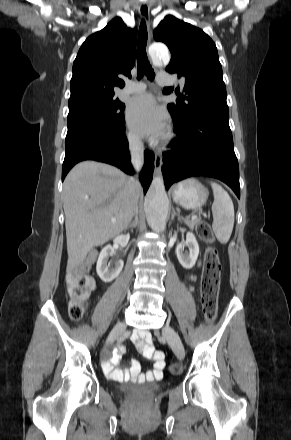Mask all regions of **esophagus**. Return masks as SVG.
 Here are the masks:
<instances>
[{
    "instance_id": "esophagus-1",
    "label": "esophagus",
    "mask_w": 291,
    "mask_h": 440,
    "mask_svg": "<svg viewBox=\"0 0 291 440\" xmlns=\"http://www.w3.org/2000/svg\"><path fill=\"white\" fill-rule=\"evenodd\" d=\"M139 13L142 19H144V21L146 22L147 25H149V19H150V6L148 3H143L140 5L139 7ZM161 165H162V156L161 154H156L155 155V160H154V168H155V172L158 173L161 169Z\"/></svg>"
}]
</instances>
